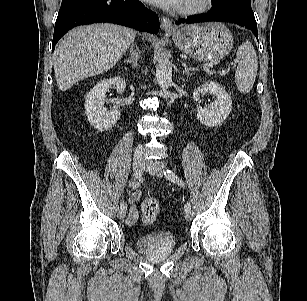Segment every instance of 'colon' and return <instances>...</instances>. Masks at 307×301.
Wrapping results in <instances>:
<instances>
[{
    "instance_id": "5ec220e1",
    "label": "colon",
    "mask_w": 307,
    "mask_h": 301,
    "mask_svg": "<svg viewBox=\"0 0 307 301\" xmlns=\"http://www.w3.org/2000/svg\"><path fill=\"white\" fill-rule=\"evenodd\" d=\"M159 214V203L153 197L146 198L142 203V216L145 224H152Z\"/></svg>"
}]
</instances>
